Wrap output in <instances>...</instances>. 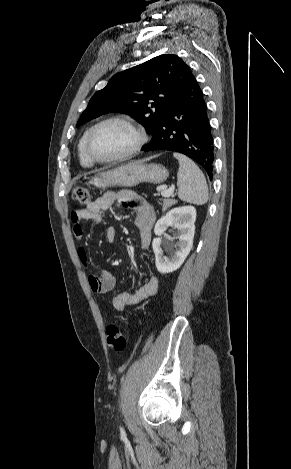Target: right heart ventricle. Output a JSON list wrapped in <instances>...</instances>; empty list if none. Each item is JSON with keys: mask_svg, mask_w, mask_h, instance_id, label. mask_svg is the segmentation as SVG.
I'll list each match as a JSON object with an SVG mask.
<instances>
[{"mask_svg": "<svg viewBox=\"0 0 291 469\" xmlns=\"http://www.w3.org/2000/svg\"><path fill=\"white\" fill-rule=\"evenodd\" d=\"M88 130L82 135L81 139L79 140L78 143V156H79V161L80 164L83 167H91L93 166L94 162H92L86 155L85 149H84V143H85V138L87 135Z\"/></svg>", "mask_w": 291, "mask_h": 469, "instance_id": "e07e8e85", "label": "right heart ventricle"}]
</instances>
